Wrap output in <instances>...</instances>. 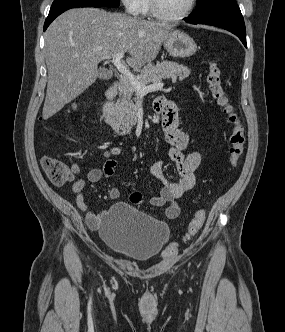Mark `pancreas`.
Returning a JSON list of instances; mask_svg holds the SVG:
<instances>
[{
    "label": "pancreas",
    "instance_id": "obj_1",
    "mask_svg": "<svg viewBox=\"0 0 285 332\" xmlns=\"http://www.w3.org/2000/svg\"><path fill=\"white\" fill-rule=\"evenodd\" d=\"M190 75V69L186 66L179 65L176 62L163 61L156 64L149 63L140 74L135 77L143 84L151 82H159L162 79L177 78L182 81ZM139 102V94L131 85V82L124 78L120 84V98L117 103L118 110L122 114L125 121L133 126L137 123V103Z\"/></svg>",
    "mask_w": 285,
    "mask_h": 332
}]
</instances>
